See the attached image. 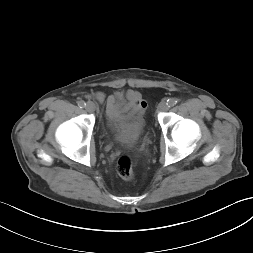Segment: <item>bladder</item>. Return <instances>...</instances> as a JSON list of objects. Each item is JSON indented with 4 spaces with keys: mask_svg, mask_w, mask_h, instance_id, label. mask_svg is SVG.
<instances>
[{
    "mask_svg": "<svg viewBox=\"0 0 253 253\" xmlns=\"http://www.w3.org/2000/svg\"><path fill=\"white\" fill-rule=\"evenodd\" d=\"M145 129V122L142 116L125 122L115 134V140L122 144L133 145L136 144L143 136Z\"/></svg>",
    "mask_w": 253,
    "mask_h": 253,
    "instance_id": "1",
    "label": "bladder"
}]
</instances>
